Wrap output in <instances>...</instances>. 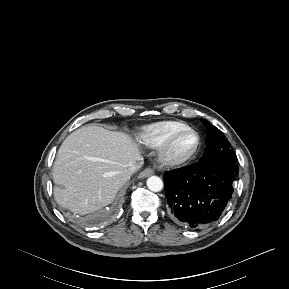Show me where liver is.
Masks as SVG:
<instances>
[{"label":"liver","mask_w":289,"mask_h":289,"mask_svg":"<svg viewBox=\"0 0 289 289\" xmlns=\"http://www.w3.org/2000/svg\"><path fill=\"white\" fill-rule=\"evenodd\" d=\"M141 159L138 144L128 134L81 127L58 150L53 165L55 200L79 214L99 210L110 204L128 181L125 169Z\"/></svg>","instance_id":"liver-1"}]
</instances>
